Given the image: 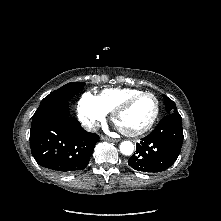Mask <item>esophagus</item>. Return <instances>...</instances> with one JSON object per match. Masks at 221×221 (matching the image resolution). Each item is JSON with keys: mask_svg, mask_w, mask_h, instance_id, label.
I'll return each instance as SVG.
<instances>
[{"mask_svg": "<svg viewBox=\"0 0 221 221\" xmlns=\"http://www.w3.org/2000/svg\"><path fill=\"white\" fill-rule=\"evenodd\" d=\"M101 139L102 140H108V141H111V142H118L119 141L118 139L110 138V137L105 136V135H101Z\"/></svg>", "mask_w": 221, "mask_h": 221, "instance_id": "esophagus-1", "label": "esophagus"}]
</instances>
